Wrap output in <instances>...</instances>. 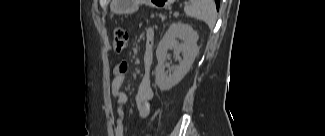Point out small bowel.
Returning a JSON list of instances; mask_svg holds the SVG:
<instances>
[{"instance_id":"obj_1","label":"small bowel","mask_w":325,"mask_h":136,"mask_svg":"<svg viewBox=\"0 0 325 136\" xmlns=\"http://www.w3.org/2000/svg\"><path fill=\"white\" fill-rule=\"evenodd\" d=\"M125 34L127 40H129V34ZM154 35L155 33L153 29H148L145 33L146 47L143 55L144 75L138 84L137 94L135 98L138 113L142 118L146 117L149 114L150 101L153 96L150 84L149 71L152 64V54L150 49L152 46ZM127 71L128 64L124 61L118 63L112 71L111 95L117 103V120L114 125V134L116 136L124 135V106L127 104L129 97L127 93L122 91L121 87L125 82Z\"/></svg>"}]
</instances>
